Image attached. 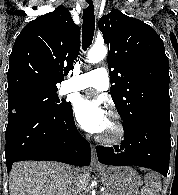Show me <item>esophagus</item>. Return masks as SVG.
I'll list each match as a JSON object with an SVG mask.
<instances>
[{
  "mask_svg": "<svg viewBox=\"0 0 178 195\" xmlns=\"http://www.w3.org/2000/svg\"><path fill=\"white\" fill-rule=\"evenodd\" d=\"M91 166L93 167L101 166L97 158L96 148L93 145L91 146Z\"/></svg>",
  "mask_w": 178,
  "mask_h": 195,
  "instance_id": "1",
  "label": "esophagus"
}]
</instances>
